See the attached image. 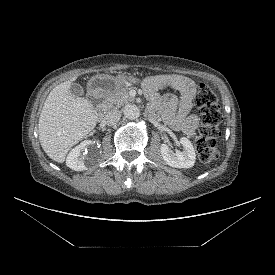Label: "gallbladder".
<instances>
[{"instance_id":"gallbladder-1","label":"gallbladder","mask_w":275,"mask_h":275,"mask_svg":"<svg viewBox=\"0 0 275 275\" xmlns=\"http://www.w3.org/2000/svg\"><path fill=\"white\" fill-rule=\"evenodd\" d=\"M69 91L74 96H81V95L84 94V88L78 83H72L71 86H70Z\"/></svg>"}]
</instances>
